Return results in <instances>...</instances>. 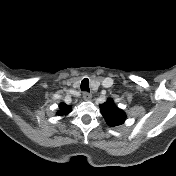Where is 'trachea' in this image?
I'll return each instance as SVG.
<instances>
[{"label":"trachea","mask_w":176,"mask_h":176,"mask_svg":"<svg viewBox=\"0 0 176 176\" xmlns=\"http://www.w3.org/2000/svg\"><path fill=\"white\" fill-rule=\"evenodd\" d=\"M80 88L82 91H85V92H89L90 89H89V80L87 78L83 79L81 81V85H80Z\"/></svg>","instance_id":"trachea-1"}]
</instances>
